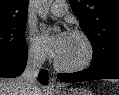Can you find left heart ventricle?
Segmentation results:
<instances>
[{
	"label": "left heart ventricle",
	"mask_w": 119,
	"mask_h": 95,
	"mask_svg": "<svg viewBox=\"0 0 119 95\" xmlns=\"http://www.w3.org/2000/svg\"><path fill=\"white\" fill-rule=\"evenodd\" d=\"M86 55V47L84 42L75 35H70V38L62 52L57 58L58 62L63 65H75L80 63Z\"/></svg>",
	"instance_id": "b2bd125f"
}]
</instances>
